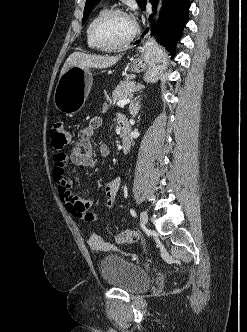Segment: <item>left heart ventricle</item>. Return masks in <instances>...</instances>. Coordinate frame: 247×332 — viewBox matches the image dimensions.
Wrapping results in <instances>:
<instances>
[{
	"label": "left heart ventricle",
	"mask_w": 247,
	"mask_h": 332,
	"mask_svg": "<svg viewBox=\"0 0 247 332\" xmlns=\"http://www.w3.org/2000/svg\"><path fill=\"white\" fill-rule=\"evenodd\" d=\"M134 23L130 17L116 14L105 19L98 27L100 39L111 45L123 42L133 31Z\"/></svg>",
	"instance_id": "1"
}]
</instances>
